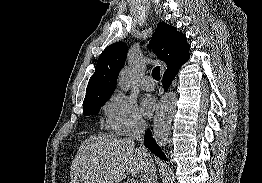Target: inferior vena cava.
I'll list each match as a JSON object with an SVG mask.
<instances>
[{
  "label": "inferior vena cava",
  "instance_id": "1",
  "mask_svg": "<svg viewBox=\"0 0 262 183\" xmlns=\"http://www.w3.org/2000/svg\"><path fill=\"white\" fill-rule=\"evenodd\" d=\"M146 123L143 119L134 120L129 139L140 141L139 154L142 158V169L140 183H157V173L154 161L143 145Z\"/></svg>",
  "mask_w": 262,
  "mask_h": 183
}]
</instances>
